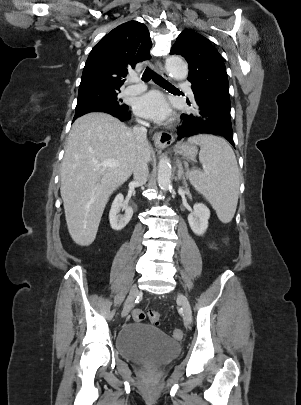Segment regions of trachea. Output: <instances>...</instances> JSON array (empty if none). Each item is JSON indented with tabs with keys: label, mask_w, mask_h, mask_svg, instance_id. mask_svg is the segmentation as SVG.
I'll list each match as a JSON object with an SVG mask.
<instances>
[{
	"label": "trachea",
	"mask_w": 301,
	"mask_h": 405,
	"mask_svg": "<svg viewBox=\"0 0 301 405\" xmlns=\"http://www.w3.org/2000/svg\"><path fill=\"white\" fill-rule=\"evenodd\" d=\"M150 79H152L157 85L167 89V90H178L175 86H173L171 83H169L167 80L162 78L160 75L155 73L153 70L150 68H146L142 75V80L147 82Z\"/></svg>",
	"instance_id": "3493384b"
}]
</instances>
